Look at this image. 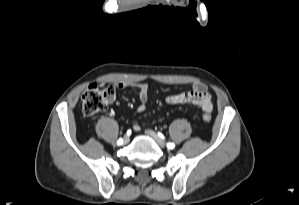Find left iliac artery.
<instances>
[{"label":"left iliac artery","mask_w":299,"mask_h":205,"mask_svg":"<svg viewBox=\"0 0 299 205\" xmlns=\"http://www.w3.org/2000/svg\"><path fill=\"white\" fill-rule=\"evenodd\" d=\"M167 147H168L169 149H173V148L175 147V144L169 142V143H167Z\"/></svg>","instance_id":"44dca946"}]
</instances>
